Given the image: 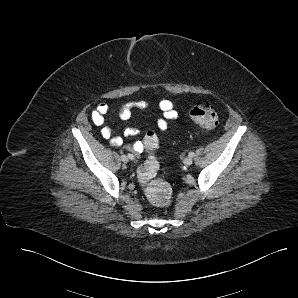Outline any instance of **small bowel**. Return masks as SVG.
I'll return each mask as SVG.
<instances>
[{"label":"small bowel","instance_id":"1","mask_svg":"<svg viewBox=\"0 0 298 298\" xmlns=\"http://www.w3.org/2000/svg\"><path fill=\"white\" fill-rule=\"evenodd\" d=\"M152 104L148 100H137L129 101L124 103L119 109V117L122 120L130 119L134 110H148ZM158 108L162 112V118H159L156 122L158 129L161 132L167 131L169 128V121L177 119L178 112L176 111L174 104L167 99H163L158 103ZM109 110V106L106 103H100L91 113V119L93 123L100 127V133L103 138L109 139L110 143L114 147L121 146L123 144V138L116 136L114 131L109 127L105 126V116ZM124 136L131 137L139 134V129L135 127H127L124 132ZM128 149L135 153H141L143 151V143L136 141L132 145L128 146Z\"/></svg>","mask_w":298,"mask_h":298}]
</instances>
